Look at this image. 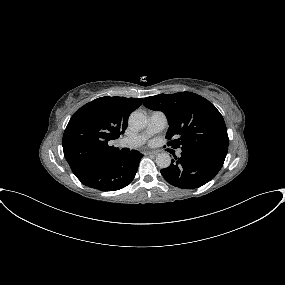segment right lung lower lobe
<instances>
[{
  "label": "right lung lower lobe",
  "mask_w": 285,
  "mask_h": 285,
  "mask_svg": "<svg viewBox=\"0 0 285 285\" xmlns=\"http://www.w3.org/2000/svg\"><path fill=\"white\" fill-rule=\"evenodd\" d=\"M142 156L135 150L129 154L119 151L83 167L74 174L88 187L101 191L119 190L134 179Z\"/></svg>",
  "instance_id": "obj_1"
}]
</instances>
